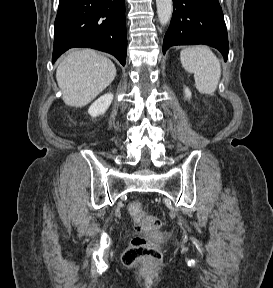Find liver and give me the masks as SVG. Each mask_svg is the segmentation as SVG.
Returning <instances> with one entry per match:
<instances>
[{
	"label": "liver",
	"mask_w": 273,
	"mask_h": 288,
	"mask_svg": "<svg viewBox=\"0 0 273 288\" xmlns=\"http://www.w3.org/2000/svg\"><path fill=\"white\" fill-rule=\"evenodd\" d=\"M116 76L111 60L91 49L69 53L58 65L56 79L66 105L84 107Z\"/></svg>",
	"instance_id": "1"
}]
</instances>
